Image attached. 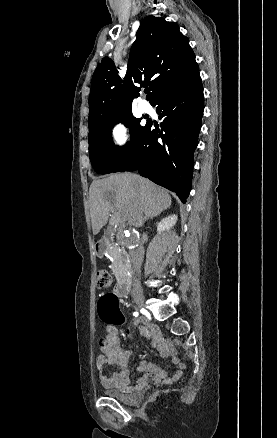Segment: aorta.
I'll list each match as a JSON object with an SVG mask.
<instances>
[{"instance_id":"1","label":"aorta","mask_w":277,"mask_h":438,"mask_svg":"<svg viewBox=\"0 0 277 438\" xmlns=\"http://www.w3.org/2000/svg\"><path fill=\"white\" fill-rule=\"evenodd\" d=\"M138 241L139 233L135 229L126 230L120 239L121 244L125 247H129L132 244L137 243Z\"/></svg>"}]
</instances>
